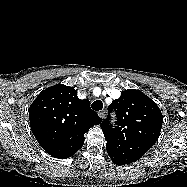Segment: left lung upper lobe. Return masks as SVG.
Here are the masks:
<instances>
[{"label": "left lung upper lobe", "instance_id": "left-lung-upper-lobe-1", "mask_svg": "<svg viewBox=\"0 0 187 187\" xmlns=\"http://www.w3.org/2000/svg\"><path fill=\"white\" fill-rule=\"evenodd\" d=\"M115 111V126L110 115L101 123L107 141V151L118 155L129 163L140 159L157 141L163 122L157 104L139 90L122 92L119 99L108 107Z\"/></svg>", "mask_w": 187, "mask_h": 187}]
</instances>
